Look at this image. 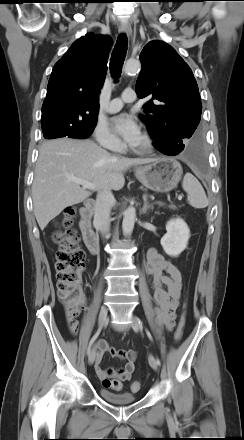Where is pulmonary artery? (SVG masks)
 <instances>
[{
    "label": "pulmonary artery",
    "mask_w": 244,
    "mask_h": 440,
    "mask_svg": "<svg viewBox=\"0 0 244 440\" xmlns=\"http://www.w3.org/2000/svg\"><path fill=\"white\" fill-rule=\"evenodd\" d=\"M136 94L133 90L127 89L122 93L121 98L111 100L107 106L106 111L109 113H115L122 109L124 103L134 102Z\"/></svg>",
    "instance_id": "obj_1"
}]
</instances>
